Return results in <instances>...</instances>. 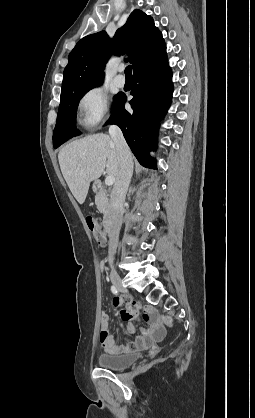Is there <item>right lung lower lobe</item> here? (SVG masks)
<instances>
[{"label":"right lung lower lobe","mask_w":255,"mask_h":418,"mask_svg":"<svg viewBox=\"0 0 255 418\" xmlns=\"http://www.w3.org/2000/svg\"><path fill=\"white\" fill-rule=\"evenodd\" d=\"M167 57L133 74V85L129 101L133 111L124 108L126 96L118 94L113 104L110 123L118 125L127 144L141 165L156 168V162L148 152L156 148L155 137L158 122L170 105L173 83Z\"/></svg>","instance_id":"98d812e1"}]
</instances>
